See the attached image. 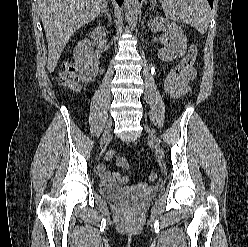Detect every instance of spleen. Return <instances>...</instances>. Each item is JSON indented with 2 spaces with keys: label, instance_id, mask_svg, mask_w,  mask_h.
I'll list each match as a JSON object with an SVG mask.
<instances>
[{
  "label": "spleen",
  "instance_id": "obj_1",
  "mask_svg": "<svg viewBox=\"0 0 248 247\" xmlns=\"http://www.w3.org/2000/svg\"><path fill=\"white\" fill-rule=\"evenodd\" d=\"M166 17L193 26L201 34L210 23V7L207 0H160Z\"/></svg>",
  "mask_w": 248,
  "mask_h": 247
}]
</instances>
